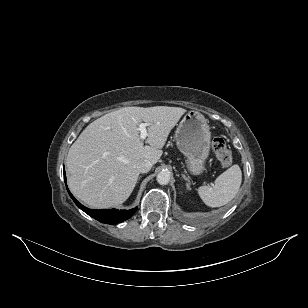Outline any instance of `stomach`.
<instances>
[{
	"label": "stomach",
	"mask_w": 308,
	"mask_h": 308,
	"mask_svg": "<svg viewBox=\"0 0 308 308\" xmlns=\"http://www.w3.org/2000/svg\"><path fill=\"white\" fill-rule=\"evenodd\" d=\"M175 140L178 149L187 158L188 170L194 175L201 174L210 151L208 120L200 112L189 111L176 129Z\"/></svg>",
	"instance_id": "obj_1"
}]
</instances>
